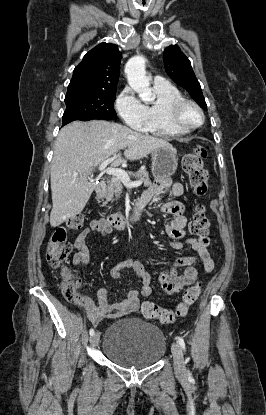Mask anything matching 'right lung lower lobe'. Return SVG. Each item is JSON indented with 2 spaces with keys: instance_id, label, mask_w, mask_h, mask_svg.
I'll list each match as a JSON object with an SVG mask.
<instances>
[{
  "instance_id": "obj_1",
  "label": "right lung lower lobe",
  "mask_w": 266,
  "mask_h": 415,
  "mask_svg": "<svg viewBox=\"0 0 266 415\" xmlns=\"http://www.w3.org/2000/svg\"><path fill=\"white\" fill-rule=\"evenodd\" d=\"M66 124H68V123H63V126L66 125Z\"/></svg>"
}]
</instances>
